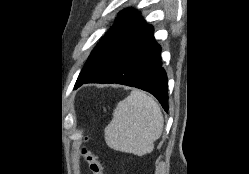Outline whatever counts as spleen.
Here are the masks:
<instances>
[{
    "mask_svg": "<svg viewBox=\"0 0 249 174\" xmlns=\"http://www.w3.org/2000/svg\"><path fill=\"white\" fill-rule=\"evenodd\" d=\"M163 115L157 102L146 93L133 90L117 104L105 127V141L116 151L143 156L151 153L163 130Z\"/></svg>",
    "mask_w": 249,
    "mask_h": 174,
    "instance_id": "3e777b00",
    "label": "spleen"
}]
</instances>
